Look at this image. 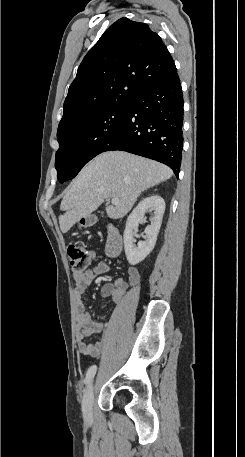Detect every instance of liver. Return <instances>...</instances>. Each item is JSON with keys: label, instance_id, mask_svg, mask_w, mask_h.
<instances>
[{"label": "liver", "instance_id": "6515ba94", "mask_svg": "<svg viewBox=\"0 0 245 457\" xmlns=\"http://www.w3.org/2000/svg\"><path fill=\"white\" fill-rule=\"evenodd\" d=\"M172 174L173 170L166 164L124 150L98 154L66 188L60 204L61 210H66L59 216L60 231H70L80 218L90 216L104 198H119V204L106 206V212L110 218H122L143 190L167 180Z\"/></svg>", "mask_w": 245, "mask_h": 457}]
</instances>
